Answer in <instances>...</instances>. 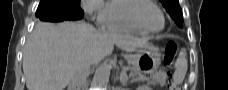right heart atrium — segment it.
Instances as JSON below:
<instances>
[{"label":"right heart atrium","mask_w":228,"mask_h":90,"mask_svg":"<svg viewBox=\"0 0 228 90\" xmlns=\"http://www.w3.org/2000/svg\"><path fill=\"white\" fill-rule=\"evenodd\" d=\"M81 5L88 17L98 24L104 23L105 3L103 0H83Z\"/></svg>","instance_id":"right-heart-atrium-1"}]
</instances>
